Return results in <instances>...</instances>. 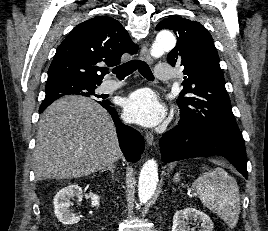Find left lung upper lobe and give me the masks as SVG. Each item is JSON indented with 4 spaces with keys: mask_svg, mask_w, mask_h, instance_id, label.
<instances>
[{
    "mask_svg": "<svg viewBox=\"0 0 268 231\" xmlns=\"http://www.w3.org/2000/svg\"><path fill=\"white\" fill-rule=\"evenodd\" d=\"M155 29H170L177 36V44L167 61L171 66L184 68L183 90L177 100L181 109L180 123L220 131L244 141L232 113L210 33L199 22L177 16L162 20Z\"/></svg>",
    "mask_w": 268,
    "mask_h": 231,
    "instance_id": "obj_1",
    "label": "left lung upper lobe"
}]
</instances>
